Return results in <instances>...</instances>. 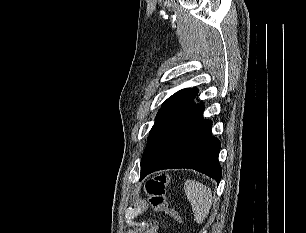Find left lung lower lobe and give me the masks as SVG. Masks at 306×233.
<instances>
[{"label": "left lung lower lobe", "mask_w": 306, "mask_h": 233, "mask_svg": "<svg viewBox=\"0 0 306 233\" xmlns=\"http://www.w3.org/2000/svg\"><path fill=\"white\" fill-rule=\"evenodd\" d=\"M203 111L204 105H196L160 139L141 164L140 179L157 170L191 168L220 182V141L211 136L212 122L202 119Z\"/></svg>", "instance_id": "obj_1"}]
</instances>
